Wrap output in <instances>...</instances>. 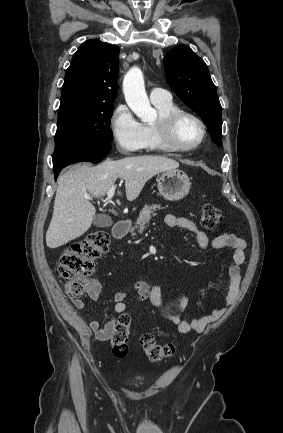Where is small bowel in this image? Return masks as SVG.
<instances>
[{"instance_id": "obj_1", "label": "small bowel", "mask_w": 283, "mask_h": 433, "mask_svg": "<svg viewBox=\"0 0 283 433\" xmlns=\"http://www.w3.org/2000/svg\"><path fill=\"white\" fill-rule=\"evenodd\" d=\"M165 223L171 228H181L192 232L195 235L197 244L200 248L206 249L211 247L214 249H221L229 247L233 249V263L229 267L228 292L222 306L214 309L205 316L192 319H184L180 313L172 312L170 308L166 309L167 319L176 325L181 333L186 334L191 331L202 332L210 323L219 320L235 302L238 296L239 285L241 282V266L245 261L246 242L240 236L231 233H222L215 238H210L205 232L200 230L192 220L184 217H177L173 214H168L165 217ZM133 290L139 301H149L157 308H162L164 306L162 287L160 285L151 286L145 281H136L133 285ZM100 294L101 284L97 280H92L91 287L88 291L90 299L96 301ZM127 297V292H117L113 295L114 312L117 315L122 314L126 310ZM72 303L77 309H83L85 307V302L81 298L72 299ZM187 306L188 299L185 296L179 298L173 305V307L179 312L184 311ZM65 314L72 323L78 326H83V320L72 308H66ZM117 320L118 317H114L104 326H101L97 320L93 319L89 322L88 328L98 340L105 341L110 338Z\"/></svg>"}]
</instances>
